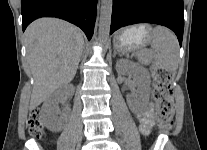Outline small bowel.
I'll use <instances>...</instances> for the list:
<instances>
[{"label":"small bowel","instance_id":"c3829d8e","mask_svg":"<svg viewBox=\"0 0 207 150\" xmlns=\"http://www.w3.org/2000/svg\"><path fill=\"white\" fill-rule=\"evenodd\" d=\"M137 119L140 124V130L143 134H148L153 125V113L152 108L150 107L143 115L137 116Z\"/></svg>","mask_w":207,"mask_h":150}]
</instances>
